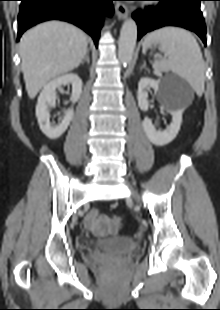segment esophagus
I'll return each mask as SVG.
<instances>
[{
    "mask_svg": "<svg viewBox=\"0 0 220 310\" xmlns=\"http://www.w3.org/2000/svg\"><path fill=\"white\" fill-rule=\"evenodd\" d=\"M116 15L120 20H124L127 18L129 14L128 7L123 3H117L115 5Z\"/></svg>",
    "mask_w": 220,
    "mask_h": 310,
    "instance_id": "obj_1",
    "label": "esophagus"
}]
</instances>
